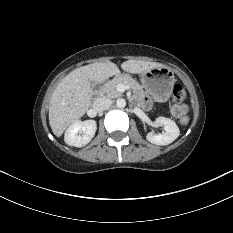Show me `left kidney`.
<instances>
[{
  "mask_svg": "<svg viewBox=\"0 0 233 233\" xmlns=\"http://www.w3.org/2000/svg\"><path fill=\"white\" fill-rule=\"evenodd\" d=\"M155 122L158 125H163L165 132L159 135L152 132L148 133L146 138L149 142L163 146L168 145L177 139L180 134V130L173 120L165 117H158Z\"/></svg>",
  "mask_w": 233,
  "mask_h": 233,
  "instance_id": "left-kidney-1",
  "label": "left kidney"
}]
</instances>
